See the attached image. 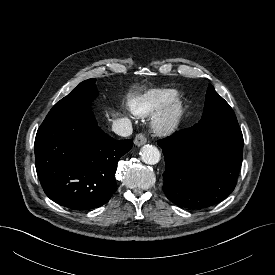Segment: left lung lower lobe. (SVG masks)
Listing matches in <instances>:
<instances>
[{
    "instance_id": "1",
    "label": "left lung lower lobe",
    "mask_w": 275,
    "mask_h": 275,
    "mask_svg": "<svg viewBox=\"0 0 275 275\" xmlns=\"http://www.w3.org/2000/svg\"><path fill=\"white\" fill-rule=\"evenodd\" d=\"M243 144L241 129L212 130L199 122L159 140L167 198L190 209L223 201L237 184Z\"/></svg>"
}]
</instances>
